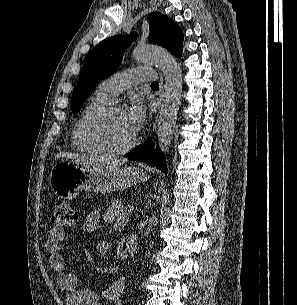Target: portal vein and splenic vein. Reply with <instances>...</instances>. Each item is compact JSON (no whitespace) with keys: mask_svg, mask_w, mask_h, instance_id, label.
<instances>
[{"mask_svg":"<svg viewBox=\"0 0 297 305\" xmlns=\"http://www.w3.org/2000/svg\"><path fill=\"white\" fill-rule=\"evenodd\" d=\"M132 210H133V207H131V206H129V207L126 209V211H127L128 213H130Z\"/></svg>","mask_w":297,"mask_h":305,"instance_id":"portal-vein-and-splenic-vein-1","label":"portal vein and splenic vein"}]
</instances>
